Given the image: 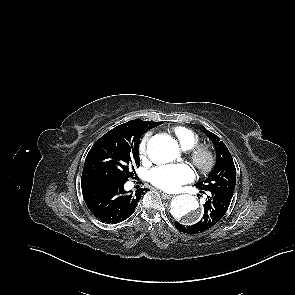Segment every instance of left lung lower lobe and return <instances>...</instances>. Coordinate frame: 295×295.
I'll return each instance as SVG.
<instances>
[{
    "label": "left lung lower lobe",
    "instance_id": "0a47b994",
    "mask_svg": "<svg viewBox=\"0 0 295 295\" xmlns=\"http://www.w3.org/2000/svg\"><path fill=\"white\" fill-rule=\"evenodd\" d=\"M232 196L221 192H209L207 201L204 204V215L199 222L194 225H183L175 222V227L187 234H197L204 232L216 225L226 213Z\"/></svg>",
    "mask_w": 295,
    "mask_h": 295
}]
</instances>
